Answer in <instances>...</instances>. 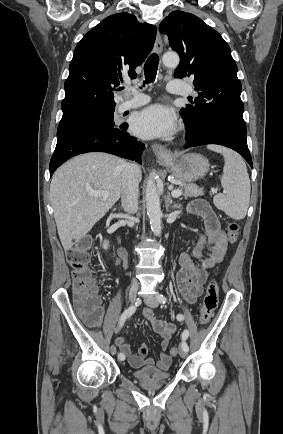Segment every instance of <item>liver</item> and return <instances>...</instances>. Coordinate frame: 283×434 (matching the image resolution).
Segmentation results:
<instances>
[{
    "mask_svg": "<svg viewBox=\"0 0 283 434\" xmlns=\"http://www.w3.org/2000/svg\"><path fill=\"white\" fill-rule=\"evenodd\" d=\"M123 163L111 154L86 153L69 160L53 175L50 201L65 251L80 241L119 200ZM141 177L139 169V181ZM89 190L107 191L109 196L93 197Z\"/></svg>",
    "mask_w": 283,
    "mask_h": 434,
    "instance_id": "obj_1",
    "label": "liver"
}]
</instances>
